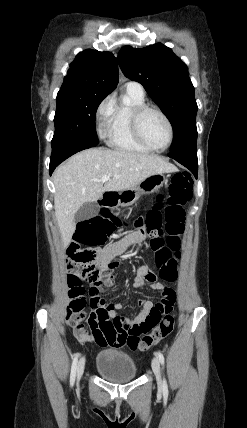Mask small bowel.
I'll list each match as a JSON object with an SVG mask.
<instances>
[{
  "mask_svg": "<svg viewBox=\"0 0 247 428\" xmlns=\"http://www.w3.org/2000/svg\"><path fill=\"white\" fill-rule=\"evenodd\" d=\"M145 239V232L144 230L138 229L134 231L133 233L127 235L120 241L108 246L107 248L100 250L97 252V255L99 257V261L103 266L109 267V276L107 281L104 283V286L107 288H113L115 285L114 275L113 271L118 266V262L114 259L124 253L130 246L139 245L142 243ZM156 275L150 270L148 265H142L138 268L136 275L133 279V287L135 288H145L150 287L153 290H156L161 293L162 298H171L174 301L175 294L174 291L165 286L164 284L160 282H155ZM91 298L94 302H99L104 304L108 307V313L110 318L114 319H120L125 323H130V320L136 321L139 317H149V311L150 309L145 308L144 305H142V310L135 316V317H129V316H121L118 315V312L122 310L123 304L121 302H114L110 303L107 302L101 295H97L94 290H90ZM146 300V299H141ZM75 337L80 342H96L100 346H107L109 345L105 340H101L100 342H97L92 335L83 334V335H76L74 333Z\"/></svg>",
  "mask_w": 247,
  "mask_h": 428,
  "instance_id": "small-bowel-1",
  "label": "small bowel"
}]
</instances>
